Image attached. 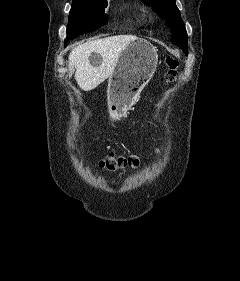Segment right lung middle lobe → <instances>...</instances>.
Segmentation results:
<instances>
[{
  "label": "right lung middle lobe",
  "mask_w": 240,
  "mask_h": 281,
  "mask_svg": "<svg viewBox=\"0 0 240 281\" xmlns=\"http://www.w3.org/2000/svg\"><path fill=\"white\" fill-rule=\"evenodd\" d=\"M107 4V0H73L69 13L65 46L67 41L106 24L107 18L104 11Z\"/></svg>",
  "instance_id": "right-lung-middle-lobe-1"
}]
</instances>
